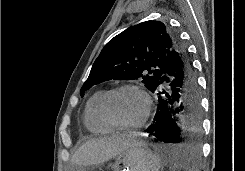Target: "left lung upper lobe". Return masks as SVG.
Masks as SVG:
<instances>
[{"label":"left lung upper lobe","mask_w":245,"mask_h":171,"mask_svg":"<svg viewBox=\"0 0 245 171\" xmlns=\"http://www.w3.org/2000/svg\"><path fill=\"white\" fill-rule=\"evenodd\" d=\"M181 45L178 35L163 22L145 21L132 26L105 45L80 95L108 80L142 79L153 91L163 75L167 56Z\"/></svg>","instance_id":"1"}]
</instances>
